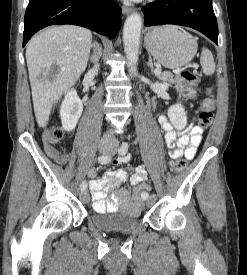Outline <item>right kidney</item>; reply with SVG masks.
<instances>
[{"instance_id":"obj_1","label":"right kidney","mask_w":247,"mask_h":275,"mask_svg":"<svg viewBox=\"0 0 247 275\" xmlns=\"http://www.w3.org/2000/svg\"><path fill=\"white\" fill-rule=\"evenodd\" d=\"M83 104L74 89L65 95L60 108V118L62 126L67 131H72L82 115Z\"/></svg>"}]
</instances>
